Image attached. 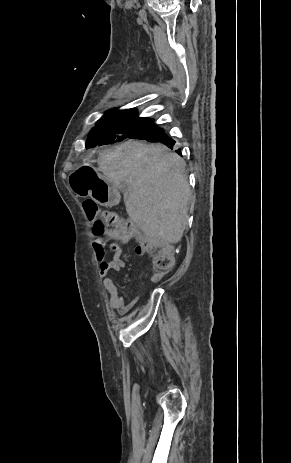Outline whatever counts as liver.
<instances>
[{"mask_svg":"<svg viewBox=\"0 0 291 463\" xmlns=\"http://www.w3.org/2000/svg\"><path fill=\"white\" fill-rule=\"evenodd\" d=\"M98 164L115 187L127 185L126 211L147 236L171 244L181 240L191 192L179 155L162 144L129 140L105 150Z\"/></svg>","mask_w":291,"mask_h":463,"instance_id":"obj_1","label":"liver"}]
</instances>
